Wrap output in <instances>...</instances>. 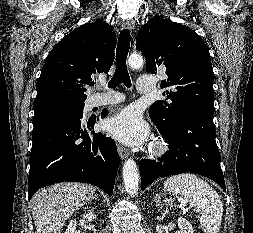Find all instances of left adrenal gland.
<instances>
[{
	"instance_id": "1",
	"label": "left adrenal gland",
	"mask_w": 253,
	"mask_h": 233,
	"mask_svg": "<svg viewBox=\"0 0 253 233\" xmlns=\"http://www.w3.org/2000/svg\"><path fill=\"white\" fill-rule=\"evenodd\" d=\"M154 202L158 205L161 202V194H157L154 198Z\"/></svg>"
}]
</instances>
